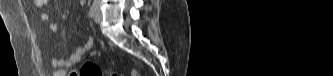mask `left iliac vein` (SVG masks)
I'll return each instance as SVG.
<instances>
[{"instance_id":"1","label":"left iliac vein","mask_w":333,"mask_h":76,"mask_svg":"<svg viewBox=\"0 0 333 76\" xmlns=\"http://www.w3.org/2000/svg\"><path fill=\"white\" fill-rule=\"evenodd\" d=\"M94 20L96 23H100L102 21V14L98 8L95 11Z\"/></svg>"}]
</instances>
